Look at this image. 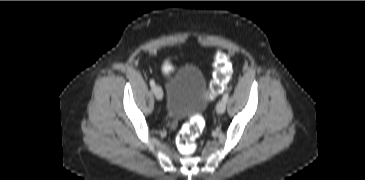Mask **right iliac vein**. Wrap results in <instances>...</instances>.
Returning <instances> with one entry per match:
<instances>
[{"mask_svg":"<svg viewBox=\"0 0 365 180\" xmlns=\"http://www.w3.org/2000/svg\"><path fill=\"white\" fill-rule=\"evenodd\" d=\"M153 92H154L155 97H156L158 100H162V99H163V91H162L161 87H159V86H154V87H153Z\"/></svg>","mask_w":365,"mask_h":180,"instance_id":"obj_1","label":"right iliac vein"}]
</instances>
